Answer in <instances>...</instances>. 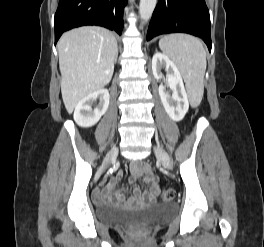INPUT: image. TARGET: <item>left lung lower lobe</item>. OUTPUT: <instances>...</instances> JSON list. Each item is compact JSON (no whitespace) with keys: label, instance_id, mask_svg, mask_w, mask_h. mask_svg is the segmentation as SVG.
I'll return each mask as SVG.
<instances>
[{"label":"left lung lower lobe","instance_id":"obj_1","mask_svg":"<svg viewBox=\"0 0 264 247\" xmlns=\"http://www.w3.org/2000/svg\"><path fill=\"white\" fill-rule=\"evenodd\" d=\"M176 32L202 38L211 51L210 15L205 0H159L149 24L147 41Z\"/></svg>","mask_w":264,"mask_h":247}]
</instances>
